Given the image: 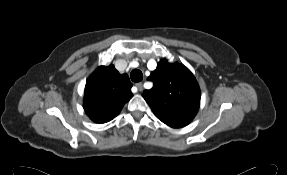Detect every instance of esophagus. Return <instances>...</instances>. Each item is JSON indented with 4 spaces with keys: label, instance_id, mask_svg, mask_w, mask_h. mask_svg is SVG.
Segmentation results:
<instances>
[{
    "label": "esophagus",
    "instance_id": "1",
    "mask_svg": "<svg viewBox=\"0 0 287 175\" xmlns=\"http://www.w3.org/2000/svg\"><path fill=\"white\" fill-rule=\"evenodd\" d=\"M135 86L138 88L139 91L143 90V84L141 82L136 83Z\"/></svg>",
    "mask_w": 287,
    "mask_h": 175
}]
</instances>
